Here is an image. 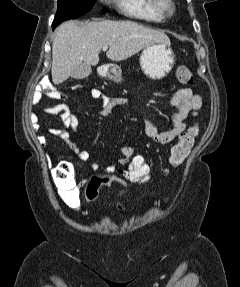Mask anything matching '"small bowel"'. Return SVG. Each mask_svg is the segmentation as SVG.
<instances>
[{
	"mask_svg": "<svg viewBox=\"0 0 240 287\" xmlns=\"http://www.w3.org/2000/svg\"><path fill=\"white\" fill-rule=\"evenodd\" d=\"M90 93L93 98L101 102V117H109L116 107L123 106L127 101L122 97H108L102 91L96 88H93ZM43 96H47L55 100H64L66 98L64 94L52 89L47 90L46 92L36 91L33 94L32 103L38 104L42 100ZM169 104L173 108V111L170 116V128L168 130L159 131L150 117H146L145 119V133L147 137L159 145H167L171 143L190 126L197 124L198 113L202 107V98L201 96L193 93L190 88H182L174 93ZM44 110L49 114L59 115L63 124V126L59 128H50L48 130L49 133L58 135L62 140H64L68 147L81 161H88L91 158L90 153L82 149L78 144L70 139L68 130L70 129L73 132H77L79 124L77 117L69 112L67 105L58 103L45 107ZM188 116H191L192 119L185 121ZM31 120L35 124L34 128L38 129V116L33 113L31 115ZM39 141L42 145L47 143L45 137H40ZM133 153V148L128 145H123L121 147V156L118 161L105 167L102 170L103 173L110 175L116 172L124 178L126 174V165ZM90 168L93 171H98L100 169V164L93 162L90 164ZM62 198L69 207L73 209L79 208L80 198L78 189H75L71 194L68 195L62 194Z\"/></svg>",
	"mask_w": 240,
	"mask_h": 287,
	"instance_id": "c3829d8e",
	"label": "small bowel"
}]
</instances>
